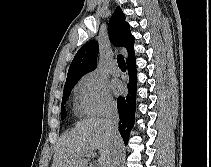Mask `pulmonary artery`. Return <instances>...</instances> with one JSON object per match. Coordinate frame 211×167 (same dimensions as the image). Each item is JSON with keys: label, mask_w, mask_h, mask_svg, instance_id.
Instances as JSON below:
<instances>
[{"label": "pulmonary artery", "mask_w": 211, "mask_h": 167, "mask_svg": "<svg viewBox=\"0 0 211 167\" xmlns=\"http://www.w3.org/2000/svg\"><path fill=\"white\" fill-rule=\"evenodd\" d=\"M112 75L118 76L120 74V69L114 64L110 70Z\"/></svg>", "instance_id": "e3ab8cb5"}]
</instances>
